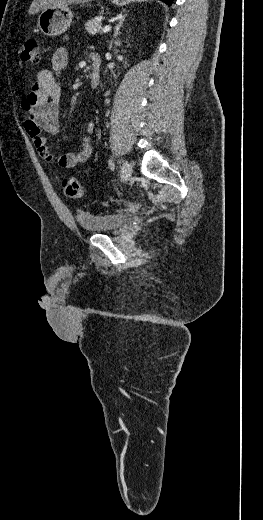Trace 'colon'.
Segmentation results:
<instances>
[{"label":"colon","mask_w":263,"mask_h":520,"mask_svg":"<svg viewBox=\"0 0 263 520\" xmlns=\"http://www.w3.org/2000/svg\"><path fill=\"white\" fill-rule=\"evenodd\" d=\"M21 58L23 61L32 63L38 62L39 44L36 39L31 38L25 41ZM63 188L66 196L69 198H79L82 196V187L79 181L73 176L66 177L63 180Z\"/></svg>","instance_id":"obj_1"}]
</instances>
